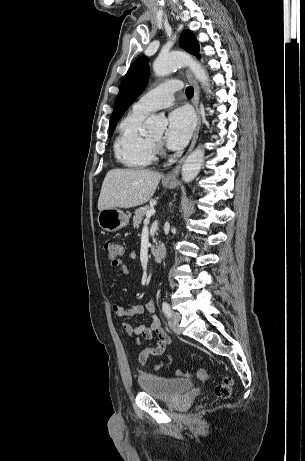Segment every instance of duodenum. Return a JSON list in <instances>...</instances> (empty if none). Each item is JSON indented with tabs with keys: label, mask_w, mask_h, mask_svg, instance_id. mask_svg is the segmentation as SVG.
I'll use <instances>...</instances> for the list:
<instances>
[{
	"label": "duodenum",
	"mask_w": 305,
	"mask_h": 461,
	"mask_svg": "<svg viewBox=\"0 0 305 461\" xmlns=\"http://www.w3.org/2000/svg\"><path fill=\"white\" fill-rule=\"evenodd\" d=\"M151 256L152 260L155 263H161L165 256H166V247L163 244L157 245L152 251H151Z\"/></svg>",
	"instance_id": "1"
}]
</instances>
